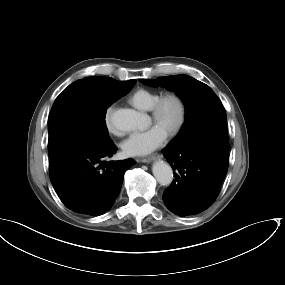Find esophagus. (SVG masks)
<instances>
[{"mask_svg": "<svg viewBox=\"0 0 285 285\" xmlns=\"http://www.w3.org/2000/svg\"><path fill=\"white\" fill-rule=\"evenodd\" d=\"M162 156L160 155V154H153V155H150V156H148V157H145V158H142V157H140V158H136V161L137 162H144V163H149V162H151V161H153V160H157V159H160Z\"/></svg>", "mask_w": 285, "mask_h": 285, "instance_id": "obj_1", "label": "esophagus"}]
</instances>
